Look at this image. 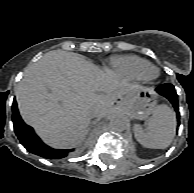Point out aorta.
Listing matches in <instances>:
<instances>
[{"instance_id":"obj_1","label":"aorta","mask_w":194,"mask_h":193,"mask_svg":"<svg viewBox=\"0 0 194 193\" xmlns=\"http://www.w3.org/2000/svg\"><path fill=\"white\" fill-rule=\"evenodd\" d=\"M128 120L119 114L111 116L109 126L115 132H123L128 128Z\"/></svg>"}]
</instances>
